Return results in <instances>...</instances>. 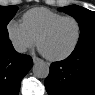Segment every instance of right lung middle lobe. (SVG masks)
<instances>
[{
    "label": "right lung middle lobe",
    "mask_w": 95,
    "mask_h": 95,
    "mask_svg": "<svg viewBox=\"0 0 95 95\" xmlns=\"http://www.w3.org/2000/svg\"><path fill=\"white\" fill-rule=\"evenodd\" d=\"M18 7L16 6H0V40H9L7 24L16 14Z\"/></svg>",
    "instance_id": "dd1d6c3e"
}]
</instances>
